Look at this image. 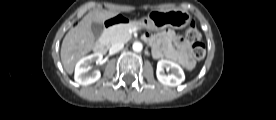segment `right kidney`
<instances>
[{"mask_svg": "<svg viewBox=\"0 0 276 120\" xmlns=\"http://www.w3.org/2000/svg\"><path fill=\"white\" fill-rule=\"evenodd\" d=\"M102 54L94 53L89 56L83 57L75 67L74 79L80 85H89L100 79L101 73L96 70L89 73L91 69V63L96 62L97 64L102 63Z\"/></svg>", "mask_w": 276, "mask_h": 120, "instance_id": "obj_1", "label": "right kidney"}]
</instances>
